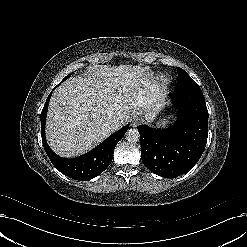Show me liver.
Masks as SVG:
<instances>
[{"label": "liver", "mask_w": 247, "mask_h": 247, "mask_svg": "<svg viewBox=\"0 0 247 247\" xmlns=\"http://www.w3.org/2000/svg\"><path fill=\"white\" fill-rule=\"evenodd\" d=\"M140 66H94L83 76L63 82L53 93L47 112L46 139L62 157L86 153L113 131L104 126L132 116L150 121L159 110L160 91Z\"/></svg>", "instance_id": "1"}]
</instances>
